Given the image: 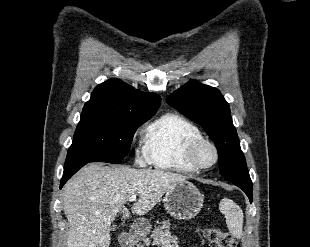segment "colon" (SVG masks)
<instances>
[{
	"mask_svg": "<svg viewBox=\"0 0 310 247\" xmlns=\"http://www.w3.org/2000/svg\"><path fill=\"white\" fill-rule=\"evenodd\" d=\"M205 235L215 247H238L234 237L220 228H209L205 231Z\"/></svg>",
	"mask_w": 310,
	"mask_h": 247,
	"instance_id": "1",
	"label": "colon"
}]
</instances>
